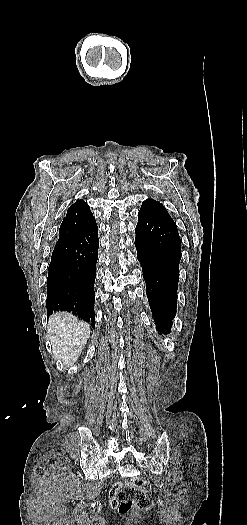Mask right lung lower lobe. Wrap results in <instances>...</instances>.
<instances>
[{
  "mask_svg": "<svg viewBox=\"0 0 247 525\" xmlns=\"http://www.w3.org/2000/svg\"><path fill=\"white\" fill-rule=\"evenodd\" d=\"M98 227L56 244L49 265L46 308L48 316L68 311L95 327L94 282L98 259Z\"/></svg>",
  "mask_w": 247,
  "mask_h": 525,
  "instance_id": "right-lung-lower-lobe-1",
  "label": "right lung lower lobe"
}]
</instances>
